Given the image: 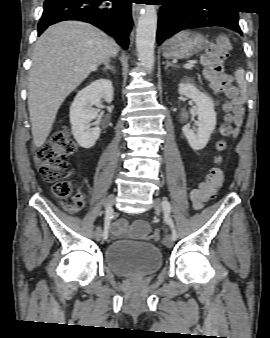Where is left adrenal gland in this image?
<instances>
[{
    "label": "left adrenal gland",
    "mask_w": 270,
    "mask_h": 338,
    "mask_svg": "<svg viewBox=\"0 0 270 338\" xmlns=\"http://www.w3.org/2000/svg\"><path fill=\"white\" fill-rule=\"evenodd\" d=\"M175 67L174 64H171L169 61L166 62V66H165V69H168V67Z\"/></svg>",
    "instance_id": "a2214340"
}]
</instances>
